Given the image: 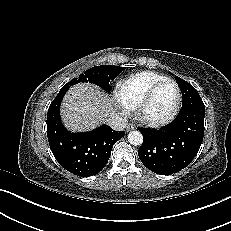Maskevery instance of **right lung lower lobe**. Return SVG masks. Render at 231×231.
Returning a JSON list of instances; mask_svg holds the SVG:
<instances>
[{
  "mask_svg": "<svg viewBox=\"0 0 231 231\" xmlns=\"http://www.w3.org/2000/svg\"><path fill=\"white\" fill-rule=\"evenodd\" d=\"M69 88L64 85L48 109V141L54 157L64 169L77 176L89 177L105 167L113 145L125 132L115 131L108 125L85 133L69 132L59 114L62 98Z\"/></svg>",
  "mask_w": 231,
  "mask_h": 231,
  "instance_id": "right-lung-lower-lobe-1",
  "label": "right lung lower lobe"
}]
</instances>
